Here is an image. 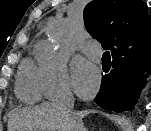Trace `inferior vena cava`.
I'll use <instances>...</instances> for the list:
<instances>
[{"mask_svg": "<svg viewBox=\"0 0 151 131\" xmlns=\"http://www.w3.org/2000/svg\"><path fill=\"white\" fill-rule=\"evenodd\" d=\"M54 104L62 110H71L73 107V99L70 91L63 89L60 95L54 100Z\"/></svg>", "mask_w": 151, "mask_h": 131, "instance_id": "obj_1", "label": "inferior vena cava"}]
</instances>
